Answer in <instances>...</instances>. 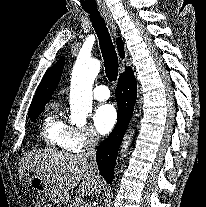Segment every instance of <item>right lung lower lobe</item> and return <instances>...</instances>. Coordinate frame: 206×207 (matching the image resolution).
<instances>
[{"instance_id": "right-lung-lower-lobe-1", "label": "right lung lower lobe", "mask_w": 206, "mask_h": 207, "mask_svg": "<svg viewBox=\"0 0 206 207\" xmlns=\"http://www.w3.org/2000/svg\"><path fill=\"white\" fill-rule=\"evenodd\" d=\"M115 95L118 106L117 123L109 137L98 146L96 154L100 173L109 184L114 177L117 151L131 119L137 97L136 79L131 68L120 75Z\"/></svg>"}]
</instances>
